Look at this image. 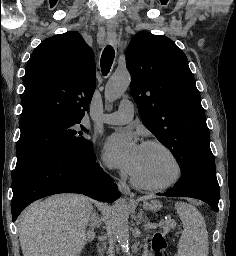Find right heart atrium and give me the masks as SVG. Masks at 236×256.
<instances>
[{"instance_id": "right-heart-atrium-1", "label": "right heart atrium", "mask_w": 236, "mask_h": 256, "mask_svg": "<svg viewBox=\"0 0 236 256\" xmlns=\"http://www.w3.org/2000/svg\"><path fill=\"white\" fill-rule=\"evenodd\" d=\"M105 166H106L107 170H109V171H111V170L113 169L112 164L109 163V162H106V163H105Z\"/></svg>"}]
</instances>
